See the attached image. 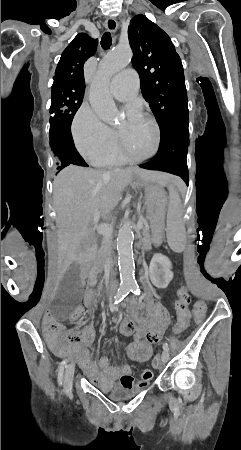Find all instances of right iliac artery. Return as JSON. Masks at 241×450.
Here are the masks:
<instances>
[{
    "instance_id": "obj_1",
    "label": "right iliac artery",
    "mask_w": 241,
    "mask_h": 450,
    "mask_svg": "<svg viewBox=\"0 0 241 450\" xmlns=\"http://www.w3.org/2000/svg\"><path fill=\"white\" fill-rule=\"evenodd\" d=\"M131 291V287H123L121 289L118 290L117 294L115 295V304H118L119 302H121ZM66 362L63 361L62 365L60 367V371H59V375H58V383L59 385H62L63 382V372H64V367H65Z\"/></svg>"
}]
</instances>
